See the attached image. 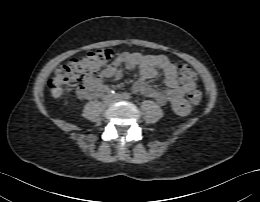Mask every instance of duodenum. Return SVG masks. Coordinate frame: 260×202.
<instances>
[{
    "instance_id": "obj_1",
    "label": "duodenum",
    "mask_w": 260,
    "mask_h": 202,
    "mask_svg": "<svg viewBox=\"0 0 260 202\" xmlns=\"http://www.w3.org/2000/svg\"><path fill=\"white\" fill-rule=\"evenodd\" d=\"M103 91H104V89L101 90V92H103ZM94 94H95V90L92 89V88H86V89L84 90V97H85L86 99L91 98Z\"/></svg>"
}]
</instances>
